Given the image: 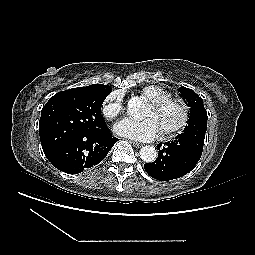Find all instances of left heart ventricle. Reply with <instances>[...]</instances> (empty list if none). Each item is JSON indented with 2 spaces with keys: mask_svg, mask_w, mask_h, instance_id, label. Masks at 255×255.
Instances as JSON below:
<instances>
[{
  "mask_svg": "<svg viewBox=\"0 0 255 255\" xmlns=\"http://www.w3.org/2000/svg\"><path fill=\"white\" fill-rule=\"evenodd\" d=\"M142 117L155 118L158 121L163 132L165 129L172 127L179 122L181 118V113L179 109L174 106H169L161 111H158L151 104H149Z\"/></svg>",
  "mask_w": 255,
  "mask_h": 255,
  "instance_id": "b2bd125f",
  "label": "left heart ventricle"
}]
</instances>
